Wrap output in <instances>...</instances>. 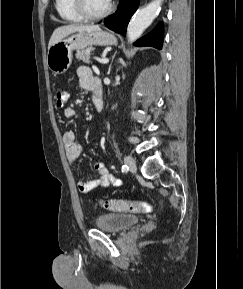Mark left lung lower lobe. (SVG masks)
<instances>
[{
	"mask_svg": "<svg viewBox=\"0 0 243 289\" xmlns=\"http://www.w3.org/2000/svg\"><path fill=\"white\" fill-rule=\"evenodd\" d=\"M139 0H119L117 11L104 19V24L111 30L126 34V26L130 18L137 10ZM163 44V23L160 22L150 33L139 39L135 45L137 46H152L158 49L162 48Z\"/></svg>",
	"mask_w": 243,
	"mask_h": 289,
	"instance_id": "0a47b994",
	"label": "left lung lower lobe"
}]
</instances>
